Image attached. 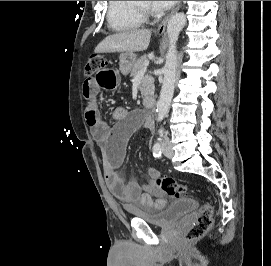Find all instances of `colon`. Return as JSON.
<instances>
[{
    "mask_svg": "<svg viewBox=\"0 0 271 266\" xmlns=\"http://www.w3.org/2000/svg\"><path fill=\"white\" fill-rule=\"evenodd\" d=\"M107 59L101 55L92 56L86 66V72L89 75L94 74L98 69L107 65ZM155 186L164 194L171 197H180L188 192V186L179 184L170 177H159L155 181ZM214 208L212 205H206L199 213L194 224L189 228L185 235L187 241L196 240L205 235L213 224Z\"/></svg>",
    "mask_w": 271,
    "mask_h": 266,
    "instance_id": "5ec220e1",
    "label": "colon"
}]
</instances>
